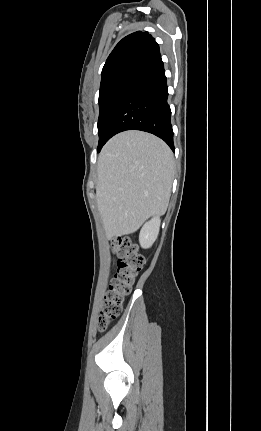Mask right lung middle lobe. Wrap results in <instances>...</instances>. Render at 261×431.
Here are the masks:
<instances>
[{
	"label": "right lung middle lobe",
	"mask_w": 261,
	"mask_h": 431,
	"mask_svg": "<svg viewBox=\"0 0 261 431\" xmlns=\"http://www.w3.org/2000/svg\"><path fill=\"white\" fill-rule=\"evenodd\" d=\"M139 73L140 71L138 70L127 71L101 84L99 93V143L97 152H100L103 145L109 140L111 122L123 98Z\"/></svg>",
	"instance_id": "1"
}]
</instances>
